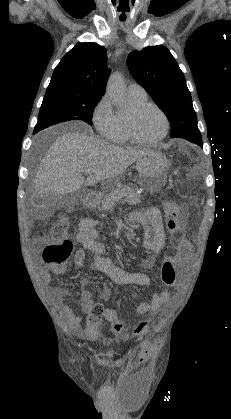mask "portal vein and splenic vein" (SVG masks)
<instances>
[{"instance_id": "portal-vein-and-splenic-vein-1", "label": "portal vein and splenic vein", "mask_w": 231, "mask_h": 419, "mask_svg": "<svg viewBox=\"0 0 231 419\" xmlns=\"http://www.w3.org/2000/svg\"><path fill=\"white\" fill-rule=\"evenodd\" d=\"M85 173H86V174H91V173H92V170L87 169V170H85ZM121 196H123V194H122Z\"/></svg>"}]
</instances>
